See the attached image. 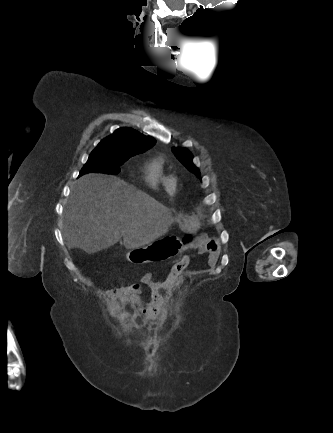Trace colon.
<instances>
[{
    "instance_id": "1",
    "label": "colon",
    "mask_w": 333,
    "mask_h": 433,
    "mask_svg": "<svg viewBox=\"0 0 333 433\" xmlns=\"http://www.w3.org/2000/svg\"><path fill=\"white\" fill-rule=\"evenodd\" d=\"M191 235L184 242L190 241ZM180 236H160L153 244H146L145 249H125L124 256L128 265H160L162 258H175L180 244Z\"/></svg>"
}]
</instances>
